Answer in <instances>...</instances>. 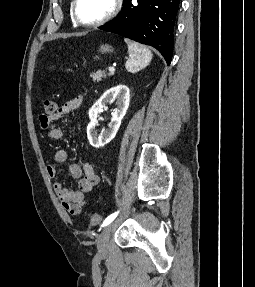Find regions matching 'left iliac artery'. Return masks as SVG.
<instances>
[{
  "mask_svg": "<svg viewBox=\"0 0 255 287\" xmlns=\"http://www.w3.org/2000/svg\"><path fill=\"white\" fill-rule=\"evenodd\" d=\"M117 215H118V212H115V213L111 214L110 216H108V217L104 220V222H103V224H102V227H104V226L110 224V223L116 218Z\"/></svg>",
  "mask_w": 255,
  "mask_h": 287,
  "instance_id": "44dca946",
  "label": "left iliac artery"
}]
</instances>
